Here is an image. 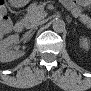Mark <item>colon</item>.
Listing matches in <instances>:
<instances>
[{
    "mask_svg": "<svg viewBox=\"0 0 91 91\" xmlns=\"http://www.w3.org/2000/svg\"><path fill=\"white\" fill-rule=\"evenodd\" d=\"M5 15H6V11H4L3 6H1L0 7L1 29L3 32H8L10 29V22Z\"/></svg>",
    "mask_w": 91,
    "mask_h": 91,
    "instance_id": "1",
    "label": "colon"
}]
</instances>
